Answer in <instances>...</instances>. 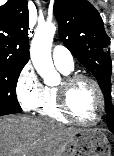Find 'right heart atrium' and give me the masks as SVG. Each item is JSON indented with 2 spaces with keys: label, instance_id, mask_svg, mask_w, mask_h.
Wrapping results in <instances>:
<instances>
[{
  "label": "right heart atrium",
  "instance_id": "right-heart-atrium-1",
  "mask_svg": "<svg viewBox=\"0 0 114 156\" xmlns=\"http://www.w3.org/2000/svg\"><path fill=\"white\" fill-rule=\"evenodd\" d=\"M44 85L36 75L31 65H25L20 71L16 83L15 93L17 100L25 111L35 110L42 100Z\"/></svg>",
  "mask_w": 114,
  "mask_h": 156
}]
</instances>
